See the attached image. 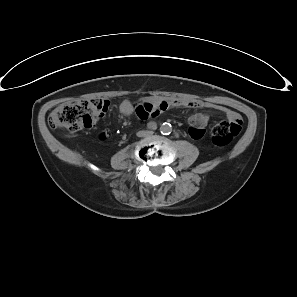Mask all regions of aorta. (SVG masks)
Here are the masks:
<instances>
[{
	"instance_id": "aorta-1",
	"label": "aorta",
	"mask_w": 297,
	"mask_h": 297,
	"mask_svg": "<svg viewBox=\"0 0 297 297\" xmlns=\"http://www.w3.org/2000/svg\"><path fill=\"white\" fill-rule=\"evenodd\" d=\"M171 131H172V126H171V124H169V123H163V124L160 126V132H161L162 134L167 135V134H170Z\"/></svg>"
}]
</instances>
